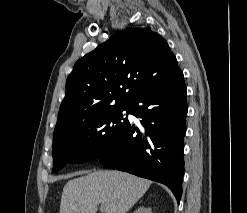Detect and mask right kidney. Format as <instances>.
Instances as JSON below:
<instances>
[{
  "label": "right kidney",
  "mask_w": 247,
  "mask_h": 213,
  "mask_svg": "<svg viewBox=\"0 0 247 213\" xmlns=\"http://www.w3.org/2000/svg\"><path fill=\"white\" fill-rule=\"evenodd\" d=\"M133 213H152L150 208L141 206L137 210H135Z\"/></svg>",
  "instance_id": "right-kidney-1"
}]
</instances>
